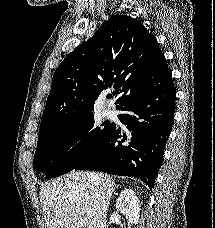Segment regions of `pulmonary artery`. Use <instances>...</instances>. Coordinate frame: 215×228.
<instances>
[{"instance_id": "pulmonary-artery-1", "label": "pulmonary artery", "mask_w": 215, "mask_h": 228, "mask_svg": "<svg viewBox=\"0 0 215 228\" xmlns=\"http://www.w3.org/2000/svg\"><path fill=\"white\" fill-rule=\"evenodd\" d=\"M115 113V110L111 104H108L104 110V114L107 117H112Z\"/></svg>"}]
</instances>
